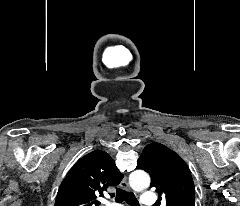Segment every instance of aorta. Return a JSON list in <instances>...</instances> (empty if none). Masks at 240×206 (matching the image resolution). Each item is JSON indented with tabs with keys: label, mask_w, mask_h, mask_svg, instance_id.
<instances>
[{
	"label": "aorta",
	"mask_w": 240,
	"mask_h": 206,
	"mask_svg": "<svg viewBox=\"0 0 240 206\" xmlns=\"http://www.w3.org/2000/svg\"><path fill=\"white\" fill-rule=\"evenodd\" d=\"M129 183L134 190H143L150 185V177L146 172L136 170L130 174Z\"/></svg>",
	"instance_id": "1"
}]
</instances>
